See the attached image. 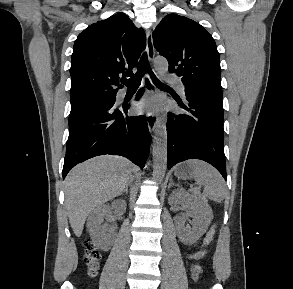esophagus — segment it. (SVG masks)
Wrapping results in <instances>:
<instances>
[{"mask_svg": "<svg viewBox=\"0 0 293 289\" xmlns=\"http://www.w3.org/2000/svg\"><path fill=\"white\" fill-rule=\"evenodd\" d=\"M146 39H147V55L148 60L150 63L153 62L155 56V48L153 44L152 32L148 30L146 32ZM144 84L148 95H153L157 92V88L153 84L151 77L149 74L145 75L144 77ZM147 124L151 135L154 134L156 124H157V117L154 113H147Z\"/></svg>", "mask_w": 293, "mask_h": 289, "instance_id": "1", "label": "esophagus"}]
</instances>
